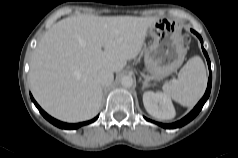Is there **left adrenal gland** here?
<instances>
[{
	"instance_id": "obj_1",
	"label": "left adrenal gland",
	"mask_w": 238,
	"mask_h": 158,
	"mask_svg": "<svg viewBox=\"0 0 238 158\" xmlns=\"http://www.w3.org/2000/svg\"><path fill=\"white\" fill-rule=\"evenodd\" d=\"M142 90H144L145 88H147L149 85L146 81H142Z\"/></svg>"
}]
</instances>
